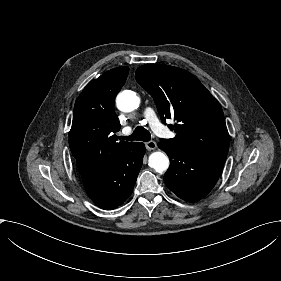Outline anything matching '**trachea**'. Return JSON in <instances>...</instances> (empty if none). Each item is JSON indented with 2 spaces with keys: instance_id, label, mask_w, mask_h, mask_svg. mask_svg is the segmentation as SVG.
<instances>
[{
  "instance_id": "3493384b",
  "label": "trachea",
  "mask_w": 281,
  "mask_h": 281,
  "mask_svg": "<svg viewBox=\"0 0 281 281\" xmlns=\"http://www.w3.org/2000/svg\"><path fill=\"white\" fill-rule=\"evenodd\" d=\"M119 139L127 141H143L148 142L151 139L150 132L142 126H138L131 135L129 136H119Z\"/></svg>"
}]
</instances>
